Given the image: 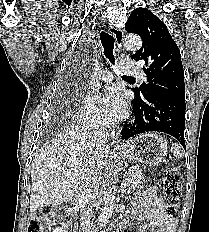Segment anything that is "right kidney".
<instances>
[{"mask_svg": "<svg viewBox=\"0 0 209 232\" xmlns=\"http://www.w3.org/2000/svg\"><path fill=\"white\" fill-rule=\"evenodd\" d=\"M52 232H65V230L63 228H56L54 229Z\"/></svg>", "mask_w": 209, "mask_h": 232, "instance_id": "ca27d5eb", "label": "right kidney"}]
</instances>
